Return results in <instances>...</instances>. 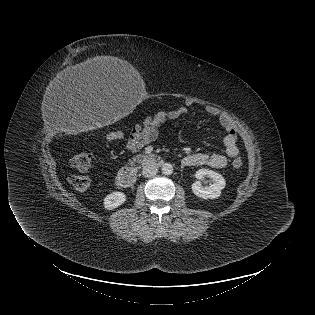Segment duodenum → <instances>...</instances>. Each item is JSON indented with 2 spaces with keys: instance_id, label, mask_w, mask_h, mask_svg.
<instances>
[{
  "instance_id": "duodenum-1",
  "label": "duodenum",
  "mask_w": 315,
  "mask_h": 315,
  "mask_svg": "<svg viewBox=\"0 0 315 315\" xmlns=\"http://www.w3.org/2000/svg\"><path fill=\"white\" fill-rule=\"evenodd\" d=\"M142 162L145 164H152L161 166L164 164L162 157L156 154H149L142 158ZM136 171L131 167L122 168L116 176V185L120 188H128L136 181Z\"/></svg>"
}]
</instances>
